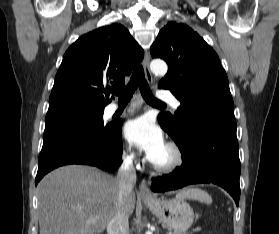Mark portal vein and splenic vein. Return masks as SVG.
Masks as SVG:
<instances>
[{"label":"portal vein and splenic vein","instance_id":"portal-vein-and-splenic-vein-1","mask_svg":"<svg viewBox=\"0 0 279 234\" xmlns=\"http://www.w3.org/2000/svg\"><path fill=\"white\" fill-rule=\"evenodd\" d=\"M88 222H89V223H94V222H96V220H95L94 218L90 217V218L88 219ZM199 230H200V227H197V228L194 229V231H199Z\"/></svg>","mask_w":279,"mask_h":234}]
</instances>
